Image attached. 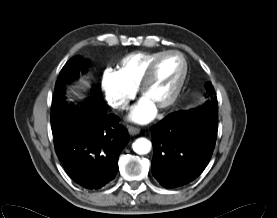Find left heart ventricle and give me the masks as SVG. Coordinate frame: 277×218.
<instances>
[{"instance_id":"b2bd125f","label":"left heart ventricle","mask_w":277,"mask_h":218,"mask_svg":"<svg viewBox=\"0 0 277 218\" xmlns=\"http://www.w3.org/2000/svg\"><path fill=\"white\" fill-rule=\"evenodd\" d=\"M183 71L181 59L176 55L164 57L157 65L155 75L144 96L156 107L169 99Z\"/></svg>"}]
</instances>
